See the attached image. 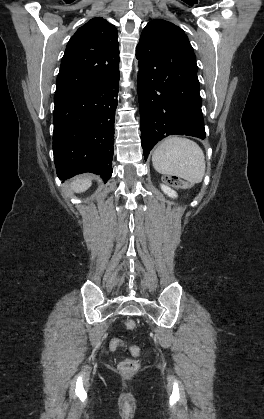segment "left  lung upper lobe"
<instances>
[{
  "mask_svg": "<svg viewBox=\"0 0 264 419\" xmlns=\"http://www.w3.org/2000/svg\"><path fill=\"white\" fill-rule=\"evenodd\" d=\"M163 43V69L188 78H197V64L193 48L182 29L165 20H152L143 29L137 51L152 43Z\"/></svg>",
  "mask_w": 264,
  "mask_h": 419,
  "instance_id": "left-lung-upper-lobe-1",
  "label": "left lung upper lobe"
}]
</instances>
